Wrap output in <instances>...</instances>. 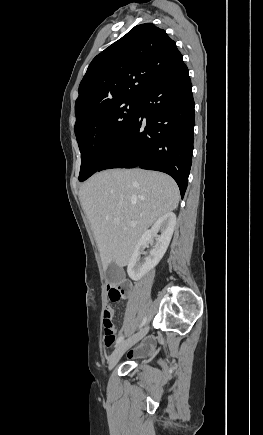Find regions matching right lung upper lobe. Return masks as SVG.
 Returning <instances> with one entry per match:
<instances>
[{"mask_svg": "<svg viewBox=\"0 0 263 435\" xmlns=\"http://www.w3.org/2000/svg\"><path fill=\"white\" fill-rule=\"evenodd\" d=\"M184 64L175 42L163 29L145 23L97 55L79 86L75 128L117 101L142 99Z\"/></svg>", "mask_w": 263, "mask_h": 435, "instance_id": "1", "label": "right lung upper lobe"}]
</instances>
